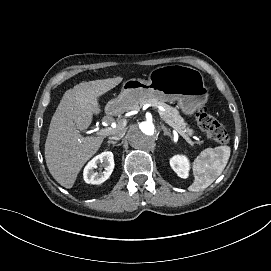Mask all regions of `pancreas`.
I'll list each match as a JSON object with an SVG mask.
<instances>
[{
	"mask_svg": "<svg viewBox=\"0 0 271 271\" xmlns=\"http://www.w3.org/2000/svg\"><path fill=\"white\" fill-rule=\"evenodd\" d=\"M159 106H162L165 108L164 111L159 112L160 116H164V117L168 118V120H171L172 122H174L175 126H179V128H181L182 131H184V133L186 135L185 122H184L183 118L178 114V111L175 109H171L169 106L162 104V103L154 105V107H156V108H159ZM188 132L190 133L191 131L188 130Z\"/></svg>",
	"mask_w": 271,
	"mask_h": 271,
	"instance_id": "1",
	"label": "pancreas"
}]
</instances>
